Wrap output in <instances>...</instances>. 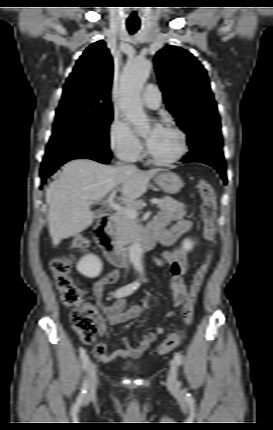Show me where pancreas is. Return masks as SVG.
<instances>
[{
  "mask_svg": "<svg viewBox=\"0 0 273 430\" xmlns=\"http://www.w3.org/2000/svg\"><path fill=\"white\" fill-rule=\"evenodd\" d=\"M161 210H167L171 212L181 211L184 207L183 203L176 201L170 196H165L161 199L158 204ZM125 208L139 209V201L127 204ZM138 219L130 218L124 213L117 212L113 218V229L115 230L114 235L118 242L123 243L129 240L134 231L138 228Z\"/></svg>",
  "mask_w": 273,
  "mask_h": 430,
  "instance_id": "obj_1",
  "label": "pancreas"
}]
</instances>
